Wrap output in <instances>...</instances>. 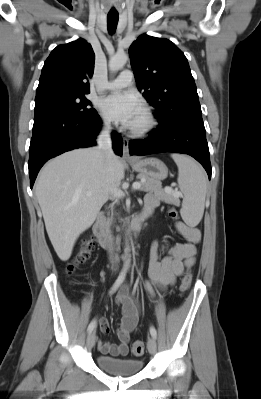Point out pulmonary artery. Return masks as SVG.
Returning a JSON list of instances; mask_svg holds the SVG:
<instances>
[{"instance_id":"e3ab8cb5","label":"pulmonary artery","mask_w":261,"mask_h":399,"mask_svg":"<svg viewBox=\"0 0 261 399\" xmlns=\"http://www.w3.org/2000/svg\"><path fill=\"white\" fill-rule=\"evenodd\" d=\"M133 83V73L130 70H123L117 78L108 82L105 86L108 90H117L127 87Z\"/></svg>"}]
</instances>
